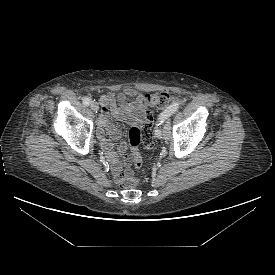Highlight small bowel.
Here are the masks:
<instances>
[{"label":"small bowel","mask_w":275,"mask_h":275,"mask_svg":"<svg viewBox=\"0 0 275 275\" xmlns=\"http://www.w3.org/2000/svg\"><path fill=\"white\" fill-rule=\"evenodd\" d=\"M100 104L101 115L99 117L98 136L111 164L114 179L117 183H121L131 175V171L127 169L122 172L121 170V164L114 151V141L120 137V130L110 122L109 117L112 116L117 120L144 127L147 123V114H150L152 121L153 112L146 107L144 94L131 87H126L119 94L102 95ZM126 149L127 146L124 142L119 143L117 146V150L121 154ZM132 159V156H127L125 159L126 164H130Z\"/></svg>","instance_id":"obj_1"}]
</instances>
